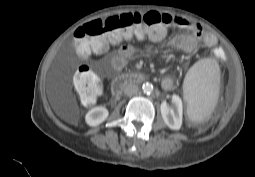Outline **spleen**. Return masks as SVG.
Here are the masks:
<instances>
[{"label": "spleen", "mask_w": 255, "mask_h": 177, "mask_svg": "<svg viewBox=\"0 0 255 177\" xmlns=\"http://www.w3.org/2000/svg\"><path fill=\"white\" fill-rule=\"evenodd\" d=\"M219 79V66L212 58L202 59L188 70L183 91L190 120L202 122L210 117L218 99Z\"/></svg>", "instance_id": "3e777b00"}]
</instances>
